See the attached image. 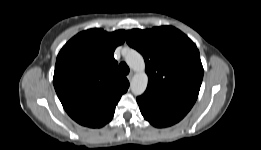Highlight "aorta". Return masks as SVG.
<instances>
[{
    "mask_svg": "<svg viewBox=\"0 0 261 150\" xmlns=\"http://www.w3.org/2000/svg\"><path fill=\"white\" fill-rule=\"evenodd\" d=\"M126 64L135 71L131 80L130 88L134 95H142L148 84V76L145 73V62L143 56L136 50L130 49L125 55Z\"/></svg>",
    "mask_w": 261,
    "mask_h": 150,
    "instance_id": "1",
    "label": "aorta"
}]
</instances>
